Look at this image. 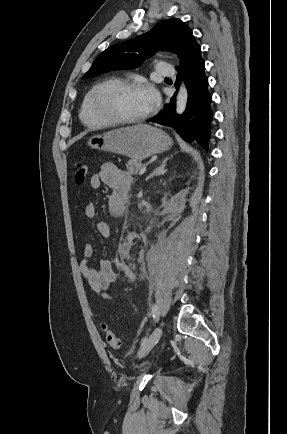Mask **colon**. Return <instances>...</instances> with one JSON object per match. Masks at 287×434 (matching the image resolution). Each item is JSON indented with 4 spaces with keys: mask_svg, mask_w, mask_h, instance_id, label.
Segmentation results:
<instances>
[{
    "mask_svg": "<svg viewBox=\"0 0 287 434\" xmlns=\"http://www.w3.org/2000/svg\"><path fill=\"white\" fill-rule=\"evenodd\" d=\"M88 175L87 164L78 159L74 163V180L77 184H83ZM102 330L106 339V342L114 349H120L122 347L121 339L107 326L102 324Z\"/></svg>",
    "mask_w": 287,
    "mask_h": 434,
    "instance_id": "1",
    "label": "colon"
}]
</instances>
